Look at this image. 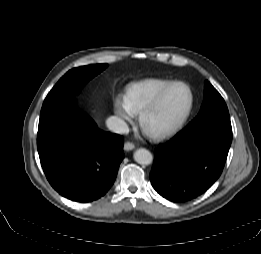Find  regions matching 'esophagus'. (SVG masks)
<instances>
[{"label":"esophagus","mask_w":261,"mask_h":254,"mask_svg":"<svg viewBox=\"0 0 261 254\" xmlns=\"http://www.w3.org/2000/svg\"><path fill=\"white\" fill-rule=\"evenodd\" d=\"M134 144L133 143H131V142H126L125 144H124V150L125 151H131V150H133L134 149Z\"/></svg>","instance_id":"34e87169"}]
</instances>
